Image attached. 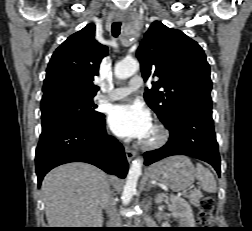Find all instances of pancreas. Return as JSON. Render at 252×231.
Listing matches in <instances>:
<instances>
[{"mask_svg": "<svg viewBox=\"0 0 252 231\" xmlns=\"http://www.w3.org/2000/svg\"><path fill=\"white\" fill-rule=\"evenodd\" d=\"M202 196L203 195L199 190H195L190 195H188L186 197L189 199L191 204L197 205V204H199V202H200L199 200Z\"/></svg>", "mask_w": 252, "mask_h": 231, "instance_id": "pancreas-1", "label": "pancreas"}]
</instances>
